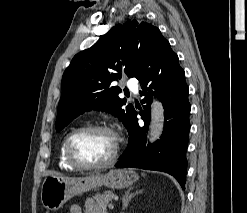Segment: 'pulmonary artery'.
Wrapping results in <instances>:
<instances>
[{
  "mask_svg": "<svg viewBox=\"0 0 247 213\" xmlns=\"http://www.w3.org/2000/svg\"><path fill=\"white\" fill-rule=\"evenodd\" d=\"M126 84L130 91H132L135 94L138 92L137 84L133 79H127Z\"/></svg>",
  "mask_w": 247,
  "mask_h": 213,
  "instance_id": "1",
  "label": "pulmonary artery"
}]
</instances>
